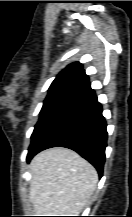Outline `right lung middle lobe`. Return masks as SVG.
<instances>
[{
    "label": "right lung middle lobe",
    "instance_id": "obj_1",
    "mask_svg": "<svg viewBox=\"0 0 132 217\" xmlns=\"http://www.w3.org/2000/svg\"><path fill=\"white\" fill-rule=\"evenodd\" d=\"M76 98V96L67 93H48L40 112L39 121L31 136V145L35 143L55 116Z\"/></svg>",
    "mask_w": 132,
    "mask_h": 217
}]
</instances>
